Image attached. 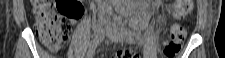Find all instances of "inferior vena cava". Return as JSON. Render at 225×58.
I'll list each match as a JSON object with an SVG mask.
<instances>
[{
    "label": "inferior vena cava",
    "mask_w": 225,
    "mask_h": 58,
    "mask_svg": "<svg viewBox=\"0 0 225 58\" xmlns=\"http://www.w3.org/2000/svg\"><path fill=\"white\" fill-rule=\"evenodd\" d=\"M99 18H100V19H104V14H102V13L100 12Z\"/></svg>",
    "instance_id": "1"
}]
</instances>
